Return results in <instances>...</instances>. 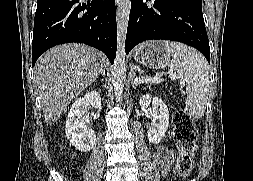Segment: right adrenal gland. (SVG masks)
<instances>
[{
	"mask_svg": "<svg viewBox=\"0 0 253 181\" xmlns=\"http://www.w3.org/2000/svg\"><path fill=\"white\" fill-rule=\"evenodd\" d=\"M101 75L105 76V68L101 71Z\"/></svg>",
	"mask_w": 253,
	"mask_h": 181,
	"instance_id": "right-adrenal-gland-1",
	"label": "right adrenal gland"
}]
</instances>
